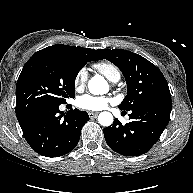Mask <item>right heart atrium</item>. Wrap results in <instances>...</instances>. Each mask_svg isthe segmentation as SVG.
I'll use <instances>...</instances> for the list:
<instances>
[{
    "label": "right heart atrium",
    "instance_id": "d8ad5b80",
    "mask_svg": "<svg viewBox=\"0 0 193 193\" xmlns=\"http://www.w3.org/2000/svg\"><path fill=\"white\" fill-rule=\"evenodd\" d=\"M88 71L85 67L80 68L74 76V87L77 90H82L87 82Z\"/></svg>",
    "mask_w": 193,
    "mask_h": 193
}]
</instances>
